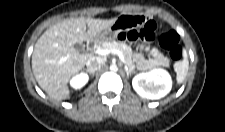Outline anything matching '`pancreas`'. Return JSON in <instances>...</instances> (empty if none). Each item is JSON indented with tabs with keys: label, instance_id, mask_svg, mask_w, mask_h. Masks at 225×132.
<instances>
[{
	"label": "pancreas",
	"instance_id": "cf45deb5",
	"mask_svg": "<svg viewBox=\"0 0 225 132\" xmlns=\"http://www.w3.org/2000/svg\"><path fill=\"white\" fill-rule=\"evenodd\" d=\"M101 49H116L122 52L125 58V65L130 70L135 69V64L132 60V49L129 45L124 42H116V41H104L99 45ZM161 66L169 67V60L165 58L161 63Z\"/></svg>",
	"mask_w": 225,
	"mask_h": 132
}]
</instances>
